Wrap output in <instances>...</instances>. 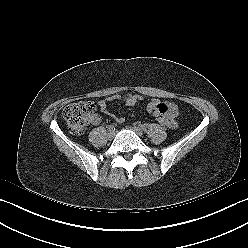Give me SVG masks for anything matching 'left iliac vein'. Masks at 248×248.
<instances>
[{
	"mask_svg": "<svg viewBox=\"0 0 248 248\" xmlns=\"http://www.w3.org/2000/svg\"><path fill=\"white\" fill-rule=\"evenodd\" d=\"M128 128L134 131L138 136H143V131L140 128L135 126H129Z\"/></svg>",
	"mask_w": 248,
	"mask_h": 248,
	"instance_id": "left-iliac-vein-1",
	"label": "left iliac vein"
}]
</instances>
